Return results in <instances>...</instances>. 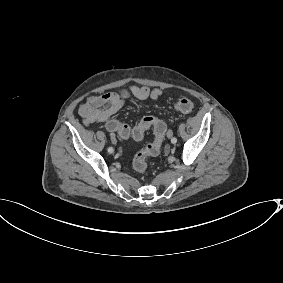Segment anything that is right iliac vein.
<instances>
[{"instance_id": "63e3f726", "label": "right iliac vein", "mask_w": 283, "mask_h": 283, "mask_svg": "<svg viewBox=\"0 0 283 283\" xmlns=\"http://www.w3.org/2000/svg\"><path fill=\"white\" fill-rule=\"evenodd\" d=\"M112 143H113V144H116V143H117V140H116L115 137L112 138Z\"/></svg>"}]
</instances>
